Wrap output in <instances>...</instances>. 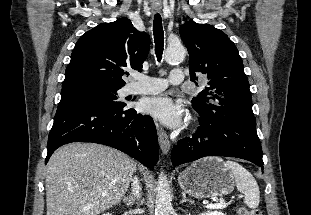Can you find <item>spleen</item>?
Listing matches in <instances>:
<instances>
[{"instance_id":"3e777b00","label":"spleen","mask_w":311,"mask_h":215,"mask_svg":"<svg viewBox=\"0 0 311 215\" xmlns=\"http://www.w3.org/2000/svg\"><path fill=\"white\" fill-rule=\"evenodd\" d=\"M225 166L233 174L237 190L244 194L245 204L251 209H256L260 202V191L255 178L235 161L227 160Z\"/></svg>"}]
</instances>
